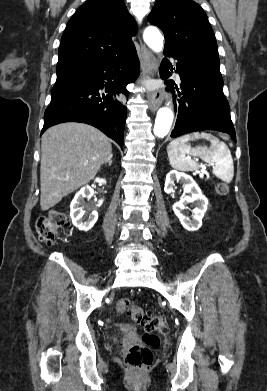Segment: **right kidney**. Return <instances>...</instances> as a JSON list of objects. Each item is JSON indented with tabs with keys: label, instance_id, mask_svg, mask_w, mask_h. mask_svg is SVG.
<instances>
[{
	"label": "right kidney",
	"instance_id": "ca27d5eb",
	"mask_svg": "<svg viewBox=\"0 0 267 391\" xmlns=\"http://www.w3.org/2000/svg\"><path fill=\"white\" fill-rule=\"evenodd\" d=\"M99 184H105L106 181L103 179L97 178L95 180ZM93 195V189L90 186H85L78 191L71 202L70 205V217L74 226H76L81 231H89L95 224L98 219L97 211H92L89 215V218L84 221V211H83V201L86 197H91ZM103 203V200H99L97 206L100 207Z\"/></svg>",
	"mask_w": 267,
	"mask_h": 391
}]
</instances>
